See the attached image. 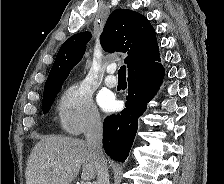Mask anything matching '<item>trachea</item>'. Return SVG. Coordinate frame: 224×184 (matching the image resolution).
<instances>
[{
    "mask_svg": "<svg viewBox=\"0 0 224 184\" xmlns=\"http://www.w3.org/2000/svg\"><path fill=\"white\" fill-rule=\"evenodd\" d=\"M118 78L119 79H126V66L123 65L118 70Z\"/></svg>",
    "mask_w": 224,
    "mask_h": 184,
    "instance_id": "trachea-1",
    "label": "trachea"
}]
</instances>
